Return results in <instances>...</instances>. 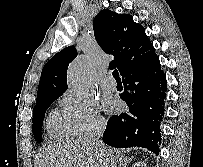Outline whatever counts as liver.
Segmentation results:
<instances>
[{"instance_id":"1","label":"liver","mask_w":203,"mask_h":167,"mask_svg":"<svg viewBox=\"0 0 203 167\" xmlns=\"http://www.w3.org/2000/svg\"><path fill=\"white\" fill-rule=\"evenodd\" d=\"M103 156L84 138L55 143L36 158L35 167H121L123 155L102 144Z\"/></svg>"}]
</instances>
